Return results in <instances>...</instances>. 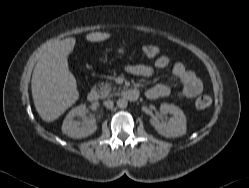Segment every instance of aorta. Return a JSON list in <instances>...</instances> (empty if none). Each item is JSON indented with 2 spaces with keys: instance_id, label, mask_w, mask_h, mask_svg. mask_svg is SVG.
<instances>
[{
  "instance_id": "obj_1",
  "label": "aorta",
  "mask_w": 249,
  "mask_h": 188,
  "mask_svg": "<svg viewBox=\"0 0 249 188\" xmlns=\"http://www.w3.org/2000/svg\"><path fill=\"white\" fill-rule=\"evenodd\" d=\"M128 105V102L125 98H120L117 100V106L121 109H124L126 108Z\"/></svg>"
}]
</instances>
